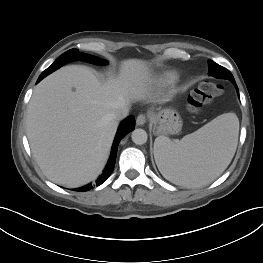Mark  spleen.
<instances>
[{"label":"spleen","mask_w":263,"mask_h":263,"mask_svg":"<svg viewBox=\"0 0 263 263\" xmlns=\"http://www.w3.org/2000/svg\"><path fill=\"white\" fill-rule=\"evenodd\" d=\"M238 134V117L235 113H224L180 141L158 136L154 142L158 169L176 185L189 188L207 185L230 164Z\"/></svg>","instance_id":"3e777b00"}]
</instances>
